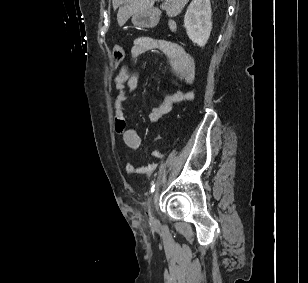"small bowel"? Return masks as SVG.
<instances>
[{
    "instance_id": "small-bowel-1",
    "label": "small bowel",
    "mask_w": 308,
    "mask_h": 283,
    "mask_svg": "<svg viewBox=\"0 0 308 283\" xmlns=\"http://www.w3.org/2000/svg\"><path fill=\"white\" fill-rule=\"evenodd\" d=\"M149 51H160L169 60L170 66L175 75L179 77L185 84L191 85L195 79V67L191 56L179 45L161 39L151 37L137 38L131 48V55L134 58H139ZM139 75L129 72L126 66L120 67L115 79L114 85L116 95L114 99V122L115 130L122 135L124 144L130 150H136L141 146L142 139L138 131L127 126V118L125 115L124 103L127 99L125 88L136 90L139 87ZM192 96L190 91L177 90L173 93L165 95L158 105H155L149 114L152 122L159 121L167 114L174 104L189 100ZM165 152L159 149L152 151V155L156 158H162ZM156 168L155 163L147 166H136L132 161H128L125 169L131 174H149Z\"/></svg>"
}]
</instances>
